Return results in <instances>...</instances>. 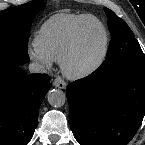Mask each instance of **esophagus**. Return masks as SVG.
<instances>
[{
    "label": "esophagus",
    "instance_id": "esophagus-1",
    "mask_svg": "<svg viewBox=\"0 0 145 145\" xmlns=\"http://www.w3.org/2000/svg\"><path fill=\"white\" fill-rule=\"evenodd\" d=\"M53 85L57 88H60V89H65L66 88V82L61 77H57L53 81Z\"/></svg>",
    "mask_w": 145,
    "mask_h": 145
}]
</instances>
